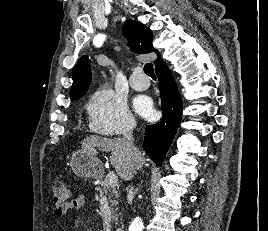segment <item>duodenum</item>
I'll return each mask as SVG.
<instances>
[{"instance_id":"obj_1","label":"duodenum","mask_w":268,"mask_h":231,"mask_svg":"<svg viewBox=\"0 0 268 231\" xmlns=\"http://www.w3.org/2000/svg\"><path fill=\"white\" fill-rule=\"evenodd\" d=\"M116 231H124L123 229H121V228H119V229H117Z\"/></svg>"}]
</instances>
